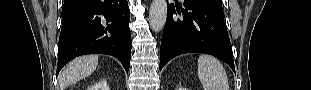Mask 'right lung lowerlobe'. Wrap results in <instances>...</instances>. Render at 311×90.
Segmentation results:
<instances>
[{
  "label": "right lung lower lobe",
  "instance_id": "1",
  "mask_svg": "<svg viewBox=\"0 0 311 90\" xmlns=\"http://www.w3.org/2000/svg\"><path fill=\"white\" fill-rule=\"evenodd\" d=\"M127 0H65L58 46L57 73L75 57L115 56L128 73L131 58Z\"/></svg>",
  "mask_w": 311,
  "mask_h": 90
}]
</instances>
